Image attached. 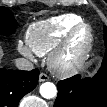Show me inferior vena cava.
I'll return each mask as SVG.
<instances>
[{"label":"inferior vena cava","mask_w":107,"mask_h":107,"mask_svg":"<svg viewBox=\"0 0 107 107\" xmlns=\"http://www.w3.org/2000/svg\"><path fill=\"white\" fill-rule=\"evenodd\" d=\"M15 65L19 70L30 71L34 68L32 62L25 58H17L15 60Z\"/></svg>","instance_id":"obj_1"}]
</instances>
